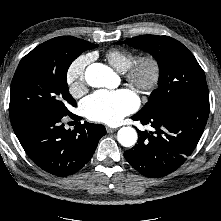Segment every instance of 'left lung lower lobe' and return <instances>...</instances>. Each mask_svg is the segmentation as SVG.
<instances>
[{
	"mask_svg": "<svg viewBox=\"0 0 221 221\" xmlns=\"http://www.w3.org/2000/svg\"><path fill=\"white\" fill-rule=\"evenodd\" d=\"M209 110V105L185 101L156 113H136L133 120L151 124L154 130H137L138 144L124 153L127 162L150 178L172 173L195 149L205 128Z\"/></svg>",
	"mask_w": 221,
	"mask_h": 221,
	"instance_id": "left-lung-lower-lobe-1",
	"label": "left lung lower lobe"
}]
</instances>
